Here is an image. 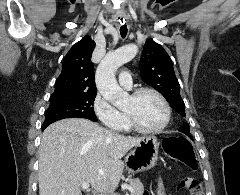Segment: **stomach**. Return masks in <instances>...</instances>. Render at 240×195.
I'll return each mask as SVG.
<instances>
[{"label": "stomach", "instance_id": "0dacf381", "mask_svg": "<svg viewBox=\"0 0 240 195\" xmlns=\"http://www.w3.org/2000/svg\"><path fill=\"white\" fill-rule=\"evenodd\" d=\"M159 141L155 135H145L125 157L128 173H138L154 167L158 161Z\"/></svg>", "mask_w": 240, "mask_h": 195}]
</instances>
